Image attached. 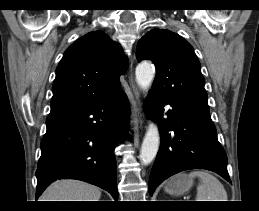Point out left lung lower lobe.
I'll list each match as a JSON object with an SVG mask.
<instances>
[{
    "label": "left lung lower lobe",
    "mask_w": 259,
    "mask_h": 211,
    "mask_svg": "<svg viewBox=\"0 0 259 211\" xmlns=\"http://www.w3.org/2000/svg\"><path fill=\"white\" fill-rule=\"evenodd\" d=\"M164 103L172 107L166 119L163 118ZM145 111L154 115L161 133L160 148L149 179L150 195L165 179L187 169L212 170L231 182L227 155L218 142L209 109L176 102L151 90Z\"/></svg>",
    "instance_id": "obj_1"
}]
</instances>
